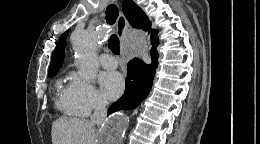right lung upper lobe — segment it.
I'll return each mask as SVG.
<instances>
[{
	"label": "right lung upper lobe",
	"mask_w": 260,
	"mask_h": 144,
	"mask_svg": "<svg viewBox=\"0 0 260 144\" xmlns=\"http://www.w3.org/2000/svg\"><path fill=\"white\" fill-rule=\"evenodd\" d=\"M122 9L128 22L134 28H140L144 31L150 32L151 23L148 17L143 12V10L139 6H137L132 0H124L122 3ZM68 32L69 30L64 32L58 40L56 48L54 49V52L52 54L49 72L58 71L62 64V61L64 59V49L66 46V36ZM157 33L158 32L155 30H153L151 33V42L153 44L158 43L156 38Z\"/></svg>",
	"instance_id": "obj_1"
}]
</instances>
